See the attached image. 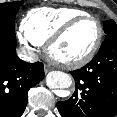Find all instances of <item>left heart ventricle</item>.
Listing matches in <instances>:
<instances>
[{"label": "left heart ventricle", "mask_w": 117, "mask_h": 117, "mask_svg": "<svg viewBox=\"0 0 117 117\" xmlns=\"http://www.w3.org/2000/svg\"><path fill=\"white\" fill-rule=\"evenodd\" d=\"M98 34L95 21L85 20L75 26L53 48V53L63 60H75L85 56L93 47Z\"/></svg>", "instance_id": "left-heart-ventricle-1"}]
</instances>
